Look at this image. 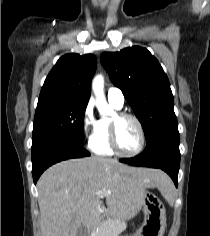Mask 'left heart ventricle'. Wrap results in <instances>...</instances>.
<instances>
[{"label":"left heart ventricle","mask_w":210,"mask_h":236,"mask_svg":"<svg viewBox=\"0 0 210 236\" xmlns=\"http://www.w3.org/2000/svg\"><path fill=\"white\" fill-rule=\"evenodd\" d=\"M117 139L122 151H135L140 143V133L135 121L129 118L120 120L117 125Z\"/></svg>","instance_id":"obj_1"}]
</instances>
